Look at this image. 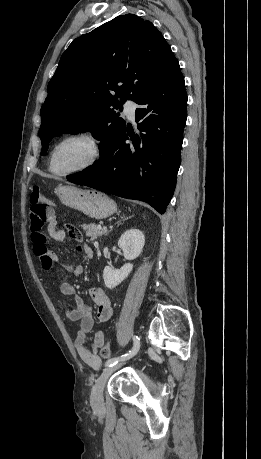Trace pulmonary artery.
Wrapping results in <instances>:
<instances>
[{"mask_svg": "<svg viewBox=\"0 0 261 459\" xmlns=\"http://www.w3.org/2000/svg\"><path fill=\"white\" fill-rule=\"evenodd\" d=\"M136 104L132 101H127L124 105V113L130 119L133 120L135 117Z\"/></svg>", "mask_w": 261, "mask_h": 459, "instance_id": "obj_1", "label": "pulmonary artery"}]
</instances>
